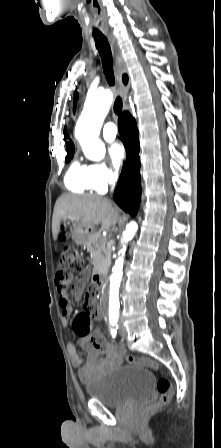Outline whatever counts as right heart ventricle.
<instances>
[{"label": "right heart ventricle", "mask_w": 221, "mask_h": 448, "mask_svg": "<svg viewBox=\"0 0 221 448\" xmlns=\"http://www.w3.org/2000/svg\"><path fill=\"white\" fill-rule=\"evenodd\" d=\"M65 185L73 192L85 193L92 190L89 182L88 167L74 161L65 176Z\"/></svg>", "instance_id": "right-heart-ventricle-1"}]
</instances>
